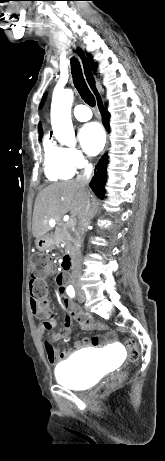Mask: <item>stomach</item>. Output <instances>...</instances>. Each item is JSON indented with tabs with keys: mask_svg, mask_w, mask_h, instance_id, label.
Listing matches in <instances>:
<instances>
[{
	"mask_svg": "<svg viewBox=\"0 0 165 461\" xmlns=\"http://www.w3.org/2000/svg\"><path fill=\"white\" fill-rule=\"evenodd\" d=\"M51 238L52 237L50 234H45L42 237L38 238L36 240V248L41 252L51 249L52 248Z\"/></svg>",
	"mask_w": 165,
	"mask_h": 461,
	"instance_id": "1",
	"label": "stomach"
}]
</instances>
